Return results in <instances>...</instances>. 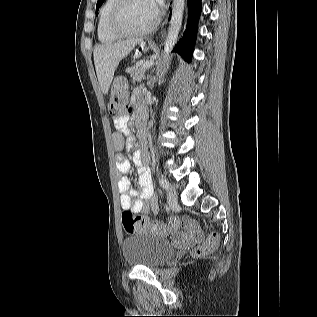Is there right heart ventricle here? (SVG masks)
<instances>
[{
  "label": "right heart ventricle",
  "mask_w": 317,
  "mask_h": 317,
  "mask_svg": "<svg viewBox=\"0 0 317 317\" xmlns=\"http://www.w3.org/2000/svg\"><path fill=\"white\" fill-rule=\"evenodd\" d=\"M116 3L117 0H105L100 9L97 36L102 43H112L119 38V36L113 34L109 28L110 15Z\"/></svg>",
  "instance_id": "right-heart-ventricle-1"
}]
</instances>
